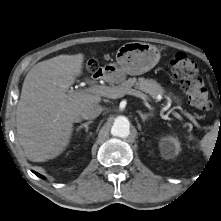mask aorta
Wrapping results in <instances>:
<instances>
[{"instance_id": "obj_1", "label": "aorta", "mask_w": 221, "mask_h": 221, "mask_svg": "<svg viewBox=\"0 0 221 221\" xmlns=\"http://www.w3.org/2000/svg\"><path fill=\"white\" fill-rule=\"evenodd\" d=\"M111 134L113 136L126 138L130 135V122L125 116H117L114 119Z\"/></svg>"}]
</instances>
